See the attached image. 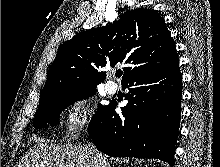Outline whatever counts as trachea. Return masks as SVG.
<instances>
[{"label":"trachea","mask_w":220,"mask_h":167,"mask_svg":"<svg viewBox=\"0 0 220 167\" xmlns=\"http://www.w3.org/2000/svg\"><path fill=\"white\" fill-rule=\"evenodd\" d=\"M121 75H122V73H116V76L119 78L121 77Z\"/></svg>","instance_id":"1"}]
</instances>
